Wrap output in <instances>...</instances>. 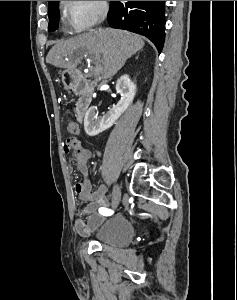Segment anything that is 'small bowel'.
I'll return each instance as SVG.
<instances>
[{
    "label": "small bowel",
    "instance_id": "small-bowel-1",
    "mask_svg": "<svg viewBox=\"0 0 237 300\" xmlns=\"http://www.w3.org/2000/svg\"><path fill=\"white\" fill-rule=\"evenodd\" d=\"M66 128L71 134H78L80 131L78 124L74 121L68 122ZM91 156L90 150L83 149L82 157L76 162L82 179L75 184V191L85 203V206L78 212L75 221V229L81 236H87L103 222L104 215L99 210L106 208L114 201V193L110 196L107 195L106 184L100 185L97 190L92 189L88 168V160Z\"/></svg>",
    "mask_w": 237,
    "mask_h": 300
}]
</instances>
